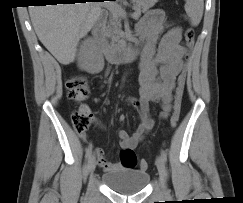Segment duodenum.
Segmentation results:
<instances>
[{"mask_svg":"<svg viewBox=\"0 0 243 203\" xmlns=\"http://www.w3.org/2000/svg\"><path fill=\"white\" fill-rule=\"evenodd\" d=\"M105 11L93 24L92 33L98 49L103 53L106 60L110 63L130 62L138 59L142 55V46L139 44L131 45H110L107 43L103 25L105 23Z\"/></svg>","mask_w":243,"mask_h":203,"instance_id":"obj_1","label":"duodenum"}]
</instances>
